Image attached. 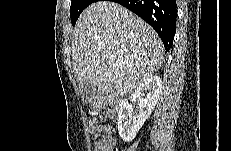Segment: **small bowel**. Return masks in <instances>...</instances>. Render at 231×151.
<instances>
[{"mask_svg": "<svg viewBox=\"0 0 231 151\" xmlns=\"http://www.w3.org/2000/svg\"><path fill=\"white\" fill-rule=\"evenodd\" d=\"M90 130L95 134V137L97 139L96 145H95V151H111L115 140L113 138H110V140L102 139L98 134V126L96 125V122L93 120L90 124Z\"/></svg>", "mask_w": 231, "mask_h": 151, "instance_id": "1", "label": "small bowel"}]
</instances>
